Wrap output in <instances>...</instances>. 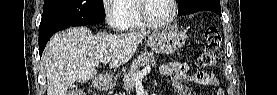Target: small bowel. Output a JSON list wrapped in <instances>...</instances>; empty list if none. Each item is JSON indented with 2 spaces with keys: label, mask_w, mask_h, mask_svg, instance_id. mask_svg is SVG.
<instances>
[{
  "label": "small bowel",
  "mask_w": 277,
  "mask_h": 95,
  "mask_svg": "<svg viewBox=\"0 0 277 95\" xmlns=\"http://www.w3.org/2000/svg\"><path fill=\"white\" fill-rule=\"evenodd\" d=\"M160 73L170 76L173 91L179 95H191L189 87L184 84L185 80L205 86L219 84L216 76L204 72H191L187 64L179 61H169L162 64ZM215 94H223V92L217 91Z\"/></svg>",
  "instance_id": "1"
}]
</instances>
